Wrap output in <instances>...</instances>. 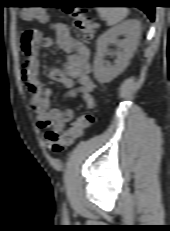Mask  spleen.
<instances>
[{
	"label": "spleen",
	"mask_w": 170,
	"mask_h": 231,
	"mask_svg": "<svg viewBox=\"0 0 170 231\" xmlns=\"http://www.w3.org/2000/svg\"><path fill=\"white\" fill-rule=\"evenodd\" d=\"M97 12L101 18L107 20L109 26L119 23L128 15L126 7H98Z\"/></svg>",
	"instance_id": "obj_1"
}]
</instances>
